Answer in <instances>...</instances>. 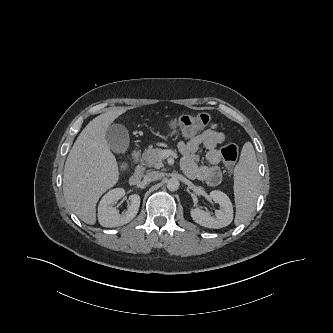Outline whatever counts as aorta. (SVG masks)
<instances>
[{"mask_svg":"<svg viewBox=\"0 0 333 333\" xmlns=\"http://www.w3.org/2000/svg\"><path fill=\"white\" fill-rule=\"evenodd\" d=\"M167 188L170 191H176L179 188V181L176 178H170L167 180Z\"/></svg>","mask_w":333,"mask_h":333,"instance_id":"obj_1","label":"aorta"}]
</instances>
